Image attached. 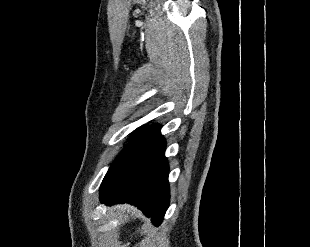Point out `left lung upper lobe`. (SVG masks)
I'll return each instance as SVG.
<instances>
[{
    "label": "left lung upper lobe",
    "mask_w": 310,
    "mask_h": 247,
    "mask_svg": "<svg viewBox=\"0 0 310 247\" xmlns=\"http://www.w3.org/2000/svg\"><path fill=\"white\" fill-rule=\"evenodd\" d=\"M141 129H143V126L139 127V128L135 131L134 135H138V134L141 132Z\"/></svg>",
    "instance_id": "1"
}]
</instances>
